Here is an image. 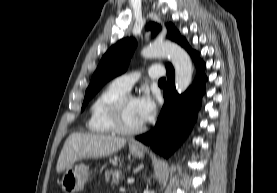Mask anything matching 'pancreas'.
Returning a JSON list of instances; mask_svg holds the SVG:
<instances>
[{
    "mask_svg": "<svg viewBox=\"0 0 277 193\" xmlns=\"http://www.w3.org/2000/svg\"><path fill=\"white\" fill-rule=\"evenodd\" d=\"M121 170L120 169H111L105 172V179L108 181L111 179V184H118L119 180L122 178L120 176Z\"/></svg>",
    "mask_w": 277,
    "mask_h": 193,
    "instance_id": "obj_1",
    "label": "pancreas"
}]
</instances>
